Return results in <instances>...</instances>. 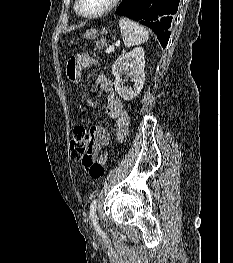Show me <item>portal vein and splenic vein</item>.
I'll return each mask as SVG.
<instances>
[{"instance_id":"18ae733b","label":"portal vein and splenic vein","mask_w":233,"mask_h":263,"mask_svg":"<svg viewBox=\"0 0 233 263\" xmlns=\"http://www.w3.org/2000/svg\"><path fill=\"white\" fill-rule=\"evenodd\" d=\"M112 51H114V45H110L107 49H106V53H111Z\"/></svg>"}]
</instances>
